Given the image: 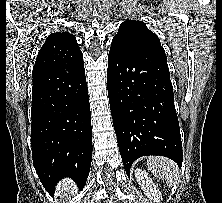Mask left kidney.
Listing matches in <instances>:
<instances>
[{
    "label": "left kidney",
    "mask_w": 222,
    "mask_h": 203,
    "mask_svg": "<svg viewBox=\"0 0 222 203\" xmlns=\"http://www.w3.org/2000/svg\"><path fill=\"white\" fill-rule=\"evenodd\" d=\"M134 173H135V178L137 182L141 186V189L146 194V196L150 200H153L154 203L155 202L158 203L159 200L162 198L161 192L159 191L157 186L154 184L150 175L146 171L140 168L135 169Z\"/></svg>",
    "instance_id": "5707ae66"
}]
</instances>
